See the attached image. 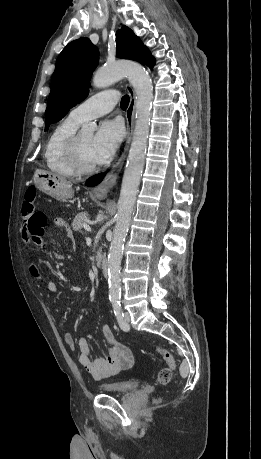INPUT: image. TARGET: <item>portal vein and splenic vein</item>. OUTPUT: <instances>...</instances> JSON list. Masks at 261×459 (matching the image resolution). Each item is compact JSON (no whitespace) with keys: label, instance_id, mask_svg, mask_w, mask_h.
Wrapping results in <instances>:
<instances>
[{"label":"portal vein and splenic vein","instance_id":"1","mask_svg":"<svg viewBox=\"0 0 261 459\" xmlns=\"http://www.w3.org/2000/svg\"><path fill=\"white\" fill-rule=\"evenodd\" d=\"M83 227H84L86 230L91 231V228L89 227V225L83 224Z\"/></svg>","mask_w":261,"mask_h":459}]
</instances>
